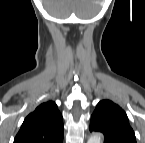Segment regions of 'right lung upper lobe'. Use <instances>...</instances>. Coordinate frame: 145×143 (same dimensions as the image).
I'll return each mask as SVG.
<instances>
[{"label": "right lung upper lobe", "mask_w": 145, "mask_h": 143, "mask_svg": "<svg viewBox=\"0 0 145 143\" xmlns=\"http://www.w3.org/2000/svg\"><path fill=\"white\" fill-rule=\"evenodd\" d=\"M64 127L57 105L47 101L24 120L14 143H63Z\"/></svg>", "instance_id": "obj_1"}]
</instances>
